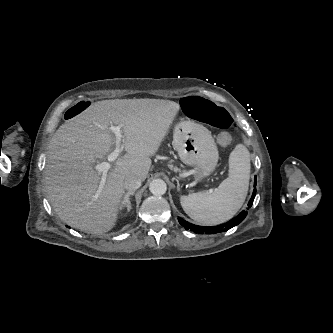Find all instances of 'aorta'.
<instances>
[{"label": "aorta", "instance_id": "762f6f07", "mask_svg": "<svg viewBox=\"0 0 333 333\" xmlns=\"http://www.w3.org/2000/svg\"><path fill=\"white\" fill-rule=\"evenodd\" d=\"M149 190L153 195L160 196L166 193L167 185L162 179H154L149 185Z\"/></svg>", "mask_w": 333, "mask_h": 333}]
</instances>
